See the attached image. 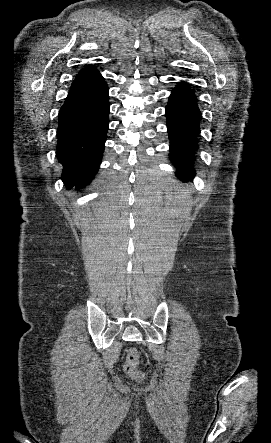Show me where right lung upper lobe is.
<instances>
[{
	"label": "right lung upper lobe",
	"instance_id": "cb5924a9",
	"mask_svg": "<svg viewBox=\"0 0 271 443\" xmlns=\"http://www.w3.org/2000/svg\"><path fill=\"white\" fill-rule=\"evenodd\" d=\"M100 79H102V76L100 75L99 71L89 65L79 71V73L75 76L73 84L92 82Z\"/></svg>",
	"mask_w": 271,
	"mask_h": 443
}]
</instances>
